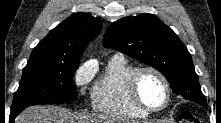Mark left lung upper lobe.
I'll return each instance as SVG.
<instances>
[{"label":"left lung upper lobe","instance_id":"5c2ea615","mask_svg":"<svg viewBox=\"0 0 221 123\" xmlns=\"http://www.w3.org/2000/svg\"><path fill=\"white\" fill-rule=\"evenodd\" d=\"M103 45L159 70L174 93L206 107L188 49L155 15L144 13L114 22L104 35Z\"/></svg>","mask_w":221,"mask_h":123}]
</instances>
